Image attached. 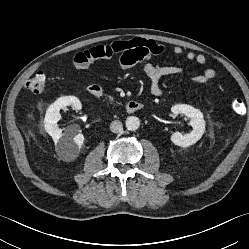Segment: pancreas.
<instances>
[{
	"label": "pancreas",
	"instance_id": "cf45deb5",
	"mask_svg": "<svg viewBox=\"0 0 249 249\" xmlns=\"http://www.w3.org/2000/svg\"><path fill=\"white\" fill-rule=\"evenodd\" d=\"M110 102H113V97L107 96Z\"/></svg>",
	"mask_w": 249,
	"mask_h": 249
}]
</instances>
